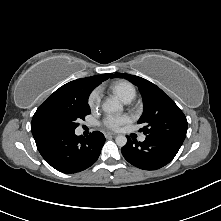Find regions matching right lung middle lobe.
I'll return each instance as SVG.
<instances>
[{
    "label": "right lung middle lobe",
    "mask_w": 221,
    "mask_h": 221,
    "mask_svg": "<svg viewBox=\"0 0 221 221\" xmlns=\"http://www.w3.org/2000/svg\"><path fill=\"white\" fill-rule=\"evenodd\" d=\"M88 99L83 102L49 101L36 110L31 131L33 137H39L55 131H73L79 126L78 120L90 114Z\"/></svg>",
    "instance_id": "1"
}]
</instances>
